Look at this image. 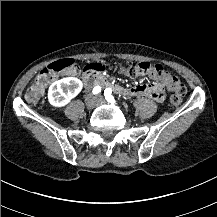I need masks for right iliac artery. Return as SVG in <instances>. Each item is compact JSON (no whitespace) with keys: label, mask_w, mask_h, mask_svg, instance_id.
I'll use <instances>...</instances> for the list:
<instances>
[{"label":"right iliac artery","mask_w":217,"mask_h":217,"mask_svg":"<svg viewBox=\"0 0 217 217\" xmlns=\"http://www.w3.org/2000/svg\"><path fill=\"white\" fill-rule=\"evenodd\" d=\"M92 92H93V94H98L99 92H101V87H99V86L94 87Z\"/></svg>","instance_id":"82829eb1"}]
</instances>
